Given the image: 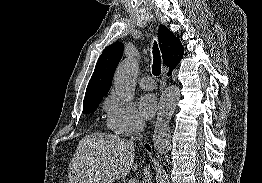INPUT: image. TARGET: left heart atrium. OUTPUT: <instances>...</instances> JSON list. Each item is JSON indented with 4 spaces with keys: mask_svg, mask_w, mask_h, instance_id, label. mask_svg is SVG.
<instances>
[{
    "mask_svg": "<svg viewBox=\"0 0 262 183\" xmlns=\"http://www.w3.org/2000/svg\"><path fill=\"white\" fill-rule=\"evenodd\" d=\"M139 109L144 119H151L157 110V99L153 94H145L139 101Z\"/></svg>",
    "mask_w": 262,
    "mask_h": 183,
    "instance_id": "1",
    "label": "left heart atrium"
}]
</instances>
